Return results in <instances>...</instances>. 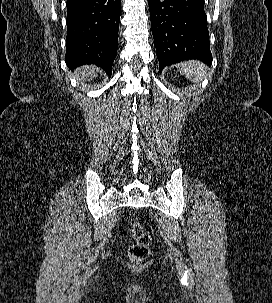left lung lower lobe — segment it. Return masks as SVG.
Returning a JSON list of instances; mask_svg holds the SVG:
<instances>
[{"label":"left lung lower lobe","mask_w":272,"mask_h":303,"mask_svg":"<svg viewBox=\"0 0 272 303\" xmlns=\"http://www.w3.org/2000/svg\"><path fill=\"white\" fill-rule=\"evenodd\" d=\"M159 70L187 59L211 65L204 0H148Z\"/></svg>","instance_id":"left-lung-lower-lobe-1"}]
</instances>
